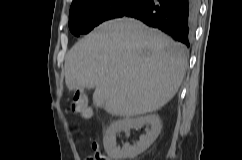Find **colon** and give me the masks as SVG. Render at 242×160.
Listing matches in <instances>:
<instances>
[{"mask_svg":"<svg viewBox=\"0 0 242 160\" xmlns=\"http://www.w3.org/2000/svg\"><path fill=\"white\" fill-rule=\"evenodd\" d=\"M68 109L71 113L79 115L83 118H90L91 109L88 101L83 93L76 92L68 102ZM88 160H106V157L101 153H96L95 158H89Z\"/></svg>","mask_w":242,"mask_h":160,"instance_id":"obj_1","label":"colon"}]
</instances>
